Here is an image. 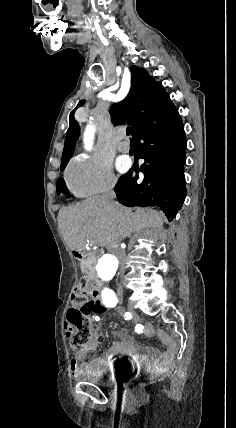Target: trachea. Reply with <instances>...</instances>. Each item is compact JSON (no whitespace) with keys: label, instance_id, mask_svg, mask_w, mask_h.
Wrapping results in <instances>:
<instances>
[{"label":"trachea","instance_id":"1","mask_svg":"<svg viewBox=\"0 0 236 428\" xmlns=\"http://www.w3.org/2000/svg\"><path fill=\"white\" fill-rule=\"evenodd\" d=\"M126 134H127L128 136L131 134V128H130V127H127V128H126Z\"/></svg>","mask_w":236,"mask_h":428}]
</instances>
